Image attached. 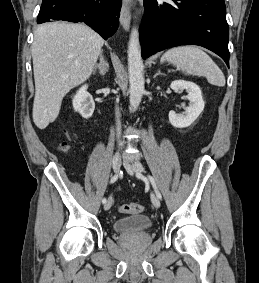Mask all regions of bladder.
<instances>
[{
	"label": "bladder",
	"mask_w": 259,
	"mask_h": 283,
	"mask_svg": "<svg viewBox=\"0 0 259 283\" xmlns=\"http://www.w3.org/2000/svg\"><path fill=\"white\" fill-rule=\"evenodd\" d=\"M151 226V219L145 215H131L113 223V229L117 233H139L150 229Z\"/></svg>",
	"instance_id": "bladder-1"
}]
</instances>
